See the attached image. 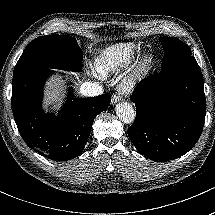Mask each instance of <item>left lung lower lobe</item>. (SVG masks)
Wrapping results in <instances>:
<instances>
[{
	"instance_id": "left-lung-lower-lobe-1",
	"label": "left lung lower lobe",
	"mask_w": 215,
	"mask_h": 215,
	"mask_svg": "<svg viewBox=\"0 0 215 215\" xmlns=\"http://www.w3.org/2000/svg\"><path fill=\"white\" fill-rule=\"evenodd\" d=\"M130 98L136 105V118L128 135L139 153L166 162L184 155L197 143L206 101L195 59L145 78Z\"/></svg>"
}]
</instances>
